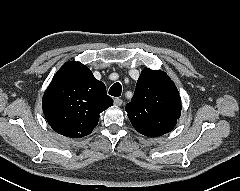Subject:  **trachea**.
Wrapping results in <instances>:
<instances>
[{"label": "trachea", "mask_w": 240, "mask_h": 191, "mask_svg": "<svg viewBox=\"0 0 240 191\" xmlns=\"http://www.w3.org/2000/svg\"><path fill=\"white\" fill-rule=\"evenodd\" d=\"M121 92H122V87L120 83H115L109 89V94L114 97H119L121 95Z\"/></svg>", "instance_id": "3493384b"}]
</instances>
